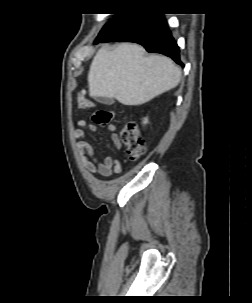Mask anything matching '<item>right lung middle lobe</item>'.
I'll list each match as a JSON object with an SVG mask.
<instances>
[{"label":"right lung middle lobe","mask_w":252,"mask_h":303,"mask_svg":"<svg viewBox=\"0 0 252 303\" xmlns=\"http://www.w3.org/2000/svg\"><path fill=\"white\" fill-rule=\"evenodd\" d=\"M122 16L119 15V17L117 19L111 20L109 21L104 27L103 29L100 31L98 38L102 37L104 34H106L116 23L117 21L120 19V17Z\"/></svg>","instance_id":"right-lung-middle-lobe-1"}]
</instances>
